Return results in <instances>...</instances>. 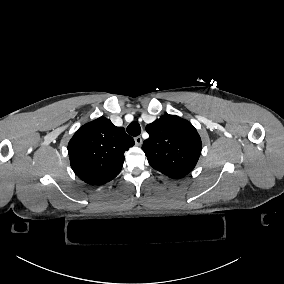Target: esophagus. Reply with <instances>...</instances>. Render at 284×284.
I'll list each match as a JSON object with an SVG mask.
<instances>
[{"label":"esophagus","instance_id":"34e87169","mask_svg":"<svg viewBox=\"0 0 284 284\" xmlns=\"http://www.w3.org/2000/svg\"><path fill=\"white\" fill-rule=\"evenodd\" d=\"M134 141H135V144H136L137 146H141L142 143H143L142 138H141L140 136L135 137V138H134Z\"/></svg>","mask_w":284,"mask_h":284}]
</instances>
